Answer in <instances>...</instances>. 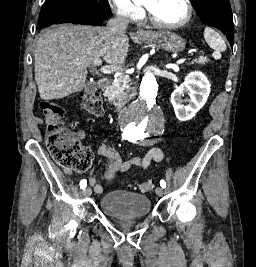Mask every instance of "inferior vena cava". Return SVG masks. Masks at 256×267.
I'll use <instances>...</instances> for the list:
<instances>
[{"label": "inferior vena cava", "mask_w": 256, "mask_h": 267, "mask_svg": "<svg viewBox=\"0 0 256 267\" xmlns=\"http://www.w3.org/2000/svg\"><path fill=\"white\" fill-rule=\"evenodd\" d=\"M128 24L129 20L126 14H124V12H121V10H118L116 18L109 20V22H107L106 28L107 30H109V32H112V34H116V36H125Z\"/></svg>", "instance_id": "602c4592"}]
</instances>
